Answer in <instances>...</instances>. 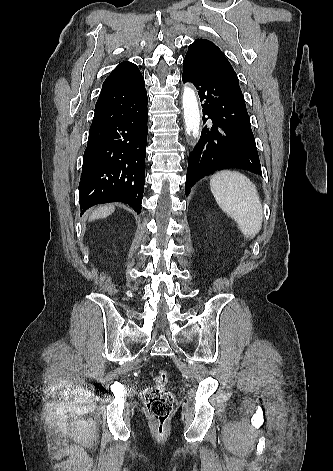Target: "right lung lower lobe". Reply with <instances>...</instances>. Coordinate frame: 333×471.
Segmentation results:
<instances>
[{"mask_svg":"<svg viewBox=\"0 0 333 471\" xmlns=\"http://www.w3.org/2000/svg\"><path fill=\"white\" fill-rule=\"evenodd\" d=\"M147 119V92L140 72L122 86L101 91L83 156L81 213L108 202L127 203L140 213Z\"/></svg>","mask_w":333,"mask_h":471,"instance_id":"obj_1","label":"right lung lower lobe"}]
</instances>
